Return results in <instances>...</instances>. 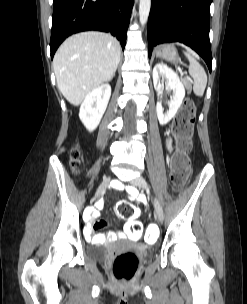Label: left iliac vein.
Here are the masks:
<instances>
[{
	"label": "left iliac vein",
	"mask_w": 247,
	"mask_h": 304,
	"mask_svg": "<svg viewBox=\"0 0 247 304\" xmlns=\"http://www.w3.org/2000/svg\"><path fill=\"white\" fill-rule=\"evenodd\" d=\"M131 184L139 188L148 189V184L142 176H138L131 180ZM155 217L158 221L163 220V209L157 198H154Z\"/></svg>",
	"instance_id": "1"
}]
</instances>
